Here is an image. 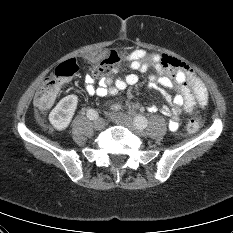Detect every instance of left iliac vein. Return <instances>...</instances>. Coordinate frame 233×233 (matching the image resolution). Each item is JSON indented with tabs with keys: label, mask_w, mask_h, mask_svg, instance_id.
Returning a JSON list of instances; mask_svg holds the SVG:
<instances>
[{
	"label": "left iliac vein",
	"mask_w": 233,
	"mask_h": 233,
	"mask_svg": "<svg viewBox=\"0 0 233 233\" xmlns=\"http://www.w3.org/2000/svg\"><path fill=\"white\" fill-rule=\"evenodd\" d=\"M111 119L118 125H122L128 129H130L131 131H134L142 136L145 135V132L142 131V129H140L139 127L136 126L135 122L133 121V119L126 115V114H112L111 115Z\"/></svg>",
	"instance_id": "4c4485c4"
}]
</instances>
